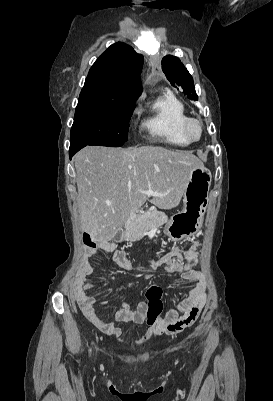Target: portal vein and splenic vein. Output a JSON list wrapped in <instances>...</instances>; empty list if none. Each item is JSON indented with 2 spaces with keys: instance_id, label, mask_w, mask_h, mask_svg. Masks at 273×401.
Here are the masks:
<instances>
[{
  "instance_id": "1",
  "label": "portal vein and splenic vein",
  "mask_w": 273,
  "mask_h": 401,
  "mask_svg": "<svg viewBox=\"0 0 273 401\" xmlns=\"http://www.w3.org/2000/svg\"><path fill=\"white\" fill-rule=\"evenodd\" d=\"M145 194H148V196H154L156 192H154V190H145Z\"/></svg>"
}]
</instances>
